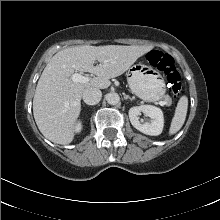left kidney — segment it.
Segmentation results:
<instances>
[{
    "instance_id": "left-kidney-1",
    "label": "left kidney",
    "mask_w": 220,
    "mask_h": 220,
    "mask_svg": "<svg viewBox=\"0 0 220 220\" xmlns=\"http://www.w3.org/2000/svg\"><path fill=\"white\" fill-rule=\"evenodd\" d=\"M141 112L150 117V123H141L139 121L138 116ZM129 118L133 127L146 135L157 136L160 135L163 131V112L158 107L152 105H141L132 107L129 109Z\"/></svg>"
}]
</instances>
